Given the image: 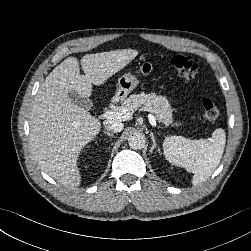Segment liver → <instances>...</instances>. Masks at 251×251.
Returning <instances> with one entry per match:
<instances>
[{
	"label": "liver",
	"mask_w": 251,
	"mask_h": 251,
	"mask_svg": "<svg viewBox=\"0 0 251 251\" xmlns=\"http://www.w3.org/2000/svg\"><path fill=\"white\" fill-rule=\"evenodd\" d=\"M138 55L123 49L68 57L40 86L30 114V146L40 168L64 186L77 187L81 175L77 165L82 149L99 133L101 122L69 97L75 91L89 99L92 85L100 86Z\"/></svg>",
	"instance_id": "liver-1"
}]
</instances>
